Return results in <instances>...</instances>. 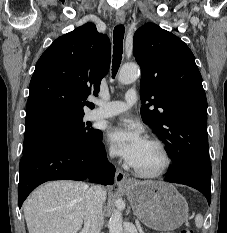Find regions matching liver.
<instances>
[{
    "instance_id": "6515ba94",
    "label": "liver",
    "mask_w": 227,
    "mask_h": 233,
    "mask_svg": "<svg viewBox=\"0 0 227 233\" xmlns=\"http://www.w3.org/2000/svg\"><path fill=\"white\" fill-rule=\"evenodd\" d=\"M82 182L51 181L34 191L24 202L29 233H77L82 228L85 195ZM104 192V201L107 192Z\"/></svg>"
}]
</instances>
